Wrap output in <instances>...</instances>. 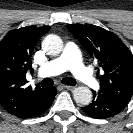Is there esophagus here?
I'll return each mask as SVG.
<instances>
[{
  "label": "esophagus",
  "instance_id": "34e87169",
  "mask_svg": "<svg viewBox=\"0 0 133 133\" xmlns=\"http://www.w3.org/2000/svg\"><path fill=\"white\" fill-rule=\"evenodd\" d=\"M63 87L67 90H73L75 87L71 85H63Z\"/></svg>",
  "mask_w": 133,
  "mask_h": 133
}]
</instances>
